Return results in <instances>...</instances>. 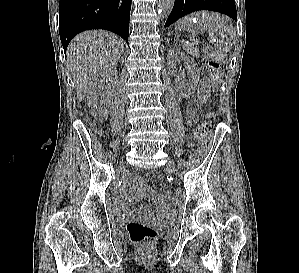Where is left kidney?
I'll use <instances>...</instances> for the list:
<instances>
[{
    "label": "left kidney",
    "instance_id": "5707ae66",
    "mask_svg": "<svg viewBox=\"0 0 299 273\" xmlns=\"http://www.w3.org/2000/svg\"><path fill=\"white\" fill-rule=\"evenodd\" d=\"M182 60L185 63V67L187 72L191 76V82L179 83L178 89L180 94L184 98H188L195 92L196 86L198 84L200 78V71L196 67L194 59L190 58L189 56L185 55V53L181 52L179 49L172 48L168 51L167 62H168V69L171 75H175L177 73L176 70V61Z\"/></svg>",
    "mask_w": 299,
    "mask_h": 273
}]
</instances>
